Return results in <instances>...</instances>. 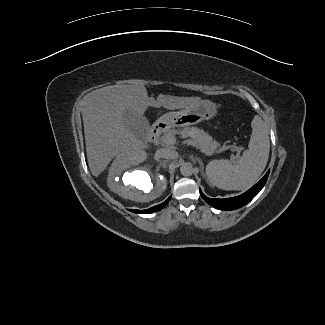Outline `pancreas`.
Segmentation results:
<instances>
[{"label": "pancreas", "mask_w": 325, "mask_h": 325, "mask_svg": "<svg viewBox=\"0 0 325 325\" xmlns=\"http://www.w3.org/2000/svg\"><path fill=\"white\" fill-rule=\"evenodd\" d=\"M180 133L183 138L190 137L192 138L198 145L199 149H206L209 152L217 151V148L220 144L213 140V138L206 133L205 131L197 128V127H184L182 130L172 129L168 133H166L163 137L166 136H174L175 134Z\"/></svg>", "instance_id": "pancreas-1"}]
</instances>
